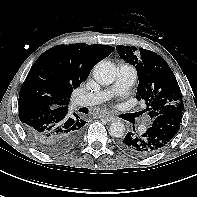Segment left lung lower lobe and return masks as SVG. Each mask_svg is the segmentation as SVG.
<instances>
[{
	"mask_svg": "<svg viewBox=\"0 0 197 197\" xmlns=\"http://www.w3.org/2000/svg\"><path fill=\"white\" fill-rule=\"evenodd\" d=\"M182 112L160 115L153 120L148 130L139 135L135 131L129 132L119 141V147L124 152L143 158L161 151L180 129Z\"/></svg>",
	"mask_w": 197,
	"mask_h": 197,
	"instance_id": "0a47b994",
	"label": "left lung lower lobe"
}]
</instances>
